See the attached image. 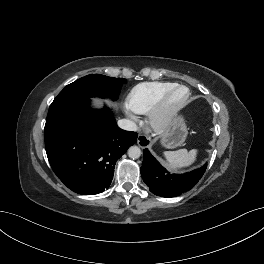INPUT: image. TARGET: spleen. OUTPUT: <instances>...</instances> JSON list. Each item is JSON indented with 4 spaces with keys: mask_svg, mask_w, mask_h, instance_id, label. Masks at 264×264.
Returning <instances> with one entry per match:
<instances>
[{
    "mask_svg": "<svg viewBox=\"0 0 264 264\" xmlns=\"http://www.w3.org/2000/svg\"><path fill=\"white\" fill-rule=\"evenodd\" d=\"M198 150L179 149L177 151H168L164 155L167 159V166L172 171H178L181 168L192 165L197 158Z\"/></svg>",
    "mask_w": 264,
    "mask_h": 264,
    "instance_id": "spleen-1",
    "label": "spleen"
}]
</instances>
